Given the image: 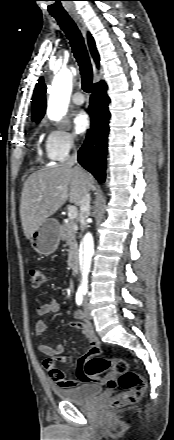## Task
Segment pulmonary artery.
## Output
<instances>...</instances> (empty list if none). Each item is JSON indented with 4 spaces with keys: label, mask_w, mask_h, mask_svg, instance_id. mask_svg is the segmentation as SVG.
<instances>
[{
    "label": "pulmonary artery",
    "mask_w": 174,
    "mask_h": 440,
    "mask_svg": "<svg viewBox=\"0 0 174 440\" xmlns=\"http://www.w3.org/2000/svg\"><path fill=\"white\" fill-rule=\"evenodd\" d=\"M85 101L84 95L80 92H76L73 96H72V102L76 105H82Z\"/></svg>",
    "instance_id": "obj_1"
}]
</instances>
